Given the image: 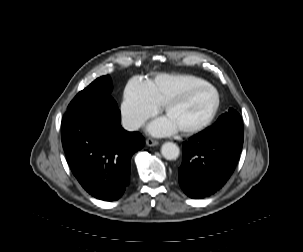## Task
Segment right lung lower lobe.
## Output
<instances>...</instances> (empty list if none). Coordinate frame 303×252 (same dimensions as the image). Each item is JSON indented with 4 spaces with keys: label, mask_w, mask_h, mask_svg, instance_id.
I'll list each match as a JSON object with an SVG mask.
<instances>
[{
    "label": "right lung lower lobe",
    "mask_w": 303,
    "mask_h": 252,
    "mask_svg": "<svg viewBox=\"0 0 303 252\" xmlns=\"http://www.w3.org/2000/svg\"><path fill=\"white\" fill-rule=\"evenodd\" d=\"M61 133L67 162L82 187L101 200L119 199L130 183L131 157L145 139L121 127L116 102L102 100L66 112Z\"/></svg>",
    "instance_id": "98d812e1"
}]
</instances>
